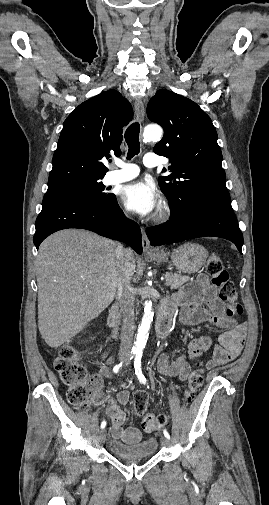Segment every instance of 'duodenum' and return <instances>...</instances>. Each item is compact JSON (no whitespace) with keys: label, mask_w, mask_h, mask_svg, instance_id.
Wrapping results in <instances>:
<instances>
[{"label":"duodenum","mask_w":269,"mask_h":505,"mask_svg":"<svg viewBox=\"0 0 269 505\" xmlns=\"http://www.w3.org/2000/svg\"><path fill=\"white\" fill-rule=\"evenodd\" d=\"M174 312L175 309L170 303L163 302L161 304L156 320V332L159 339H164L168 335L172 326ZM108 325L112 329L113 334L117 337L120 326V312L117 304L113 305L109 311Z\"/></svg>","instance_id":"duodenum-1"}]
</instances>
